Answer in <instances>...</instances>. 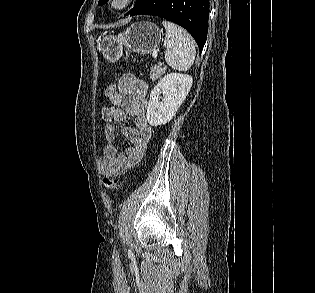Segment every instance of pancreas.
<instances>
[{
  "label": "pancreas",
  "mask_w": 315,
  "mask_h": 293,
  "mask_svg": "<svg viewBox=\"0 0 315 293\" xmlns=\"http://www.w3.org/2000/svg\"><path fill=\"white\" fill-rule=\"evenodd\" d=\"M166 67H161L157 65L151 66L150 78L152 81H155L157 78H160L162 74L165 73Z\"/></svg>",
  "instance_id": "obj_1"
}]
</instances>
